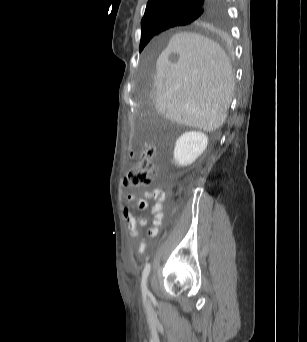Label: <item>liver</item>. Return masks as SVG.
Listing matches in <instances>:
<instances>
[{"label": "liver", "mask_w": 307, "mask_h": 342, "mask_svg": "<svg viewBox=\"0 0 307 342\" xmlns=\"http://www.w3.org/2000/svg\"><path fill=\"white\" fill-rule=\"evenodd\" d=\"M153 73L155 108L167 120L203 132H215L224 124L235 84L219 44L193 32H179L164 45Z\"/></svg>", "instance_id": "liver-1"}]
</instances>
